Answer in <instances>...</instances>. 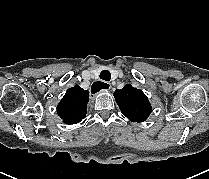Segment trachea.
<instances>
[{
	"label": "trachea",
	"mask_w": 209,
	"mask_h": 179,
	"mask_svg": "<svg viewBox=\"0 0 209 179\" xmlns=\"http://www.w3.org/2000/svg\"><path fill=\"white\" fill-rule=\"evenodd\" d=\"M100 78L102 80H105V81H110V79H111V73H110V71H108V70L101 71Z\"/></svg>",
	"instance_id": "1"
}]
</instances>
